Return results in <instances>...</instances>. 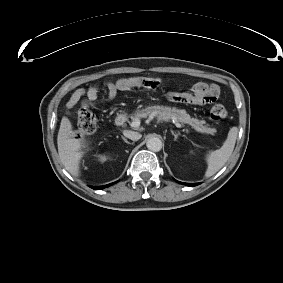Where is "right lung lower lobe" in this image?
Masks as SVG:
<instances>
[{
    "label": "right lung lower lobe",
    "mask_w": 283,
    "mask_h": 283,
    "mask_svg": "<svg viewBox=\"0 0 283 283\" xmlns=\"http://www.w3.org/2000/svg\"><path fill=\"white\" fill-rule=\"evenodd\" d=\"M114 183L108 184V185H104V186H91V188L95 189V190H102L104 188H107L111 185H113Z\"/></svg>",
    "instance_id": "98d812e1"
}]
</instances>
